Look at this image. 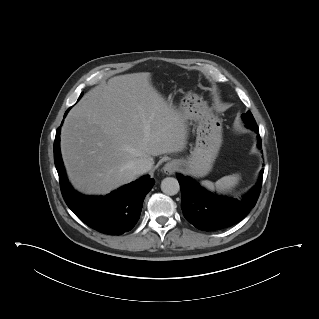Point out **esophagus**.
Listing matches in <instances>:
<instances>
[{"label":"esophagus","instance_id":"obj_1","mask_svg":"<svg viewBox=\"0 0 319 319\" xmlns=\"http://www.w3.org/2000/svg\"><path fill=\"white\" fill-rule=\"evenodd\" d=\"M163 170H164V173L170 175V174L174 173V171L176 170V166L172 162H168L163 167Z\"/></svg>","mask_w":319,"mask_h":319}]
</instances>
